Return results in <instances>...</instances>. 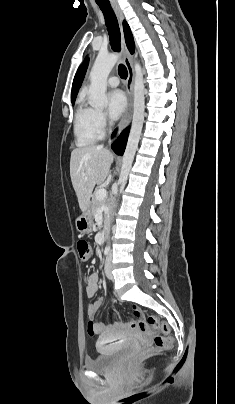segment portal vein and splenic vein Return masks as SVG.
<instances>
[{"mask_svg":"<svg viewBox=\"0 0 235 404\" xmlns=\"http://www.w3.org/2000/svg\"><path fill=\"white\" fill-rule=\"evenodd\" d=\"M107 196V192L104 188L98 189L96 191V197L98 200H104Z\"/></svg>","mask_w":235,"mask_h":404,"instance_id":"1","label":"portal vein and splenic vein"}]
</instances>
